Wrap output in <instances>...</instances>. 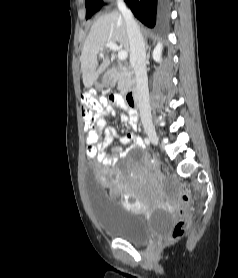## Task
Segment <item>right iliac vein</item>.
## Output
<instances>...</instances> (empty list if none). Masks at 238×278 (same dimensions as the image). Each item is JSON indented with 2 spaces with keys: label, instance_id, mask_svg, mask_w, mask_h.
I'll return each instance as SVG.
<instances>
[{
  "label": "right iliac vein",
  "instance_id": "63e3f726",
  "mask_svg": "<svg viewBox=\"0 0 238 278\" xmlns=\"http://www.w3.org/2000/svg\"><path fill=\"white\" fill-rule=\"evenodd\" d=\"M145 132L151 141L152 144L157 145L158 144V136L156 134V131L153 126L147 125L145 126Z\"/></svg>",
  "mask_w": 238,
  "mask_h": 278
}]
</instances>
